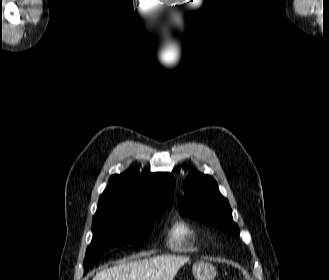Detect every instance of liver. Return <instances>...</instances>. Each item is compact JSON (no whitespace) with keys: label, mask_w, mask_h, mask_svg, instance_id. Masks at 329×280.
<instances>
[{"label":"liver","mask_w":329,"mask_h":280,"mask_svg":"<svg viewBox=\"0 0 329 280\" xmlns=\"http://www.w3.org/2000/svg\"><path fill=\"white\" fill-rule=\"evenodd\" d=\"M190 257L160 255L148 259L122 261L97 273L92 280H173Z\"/></svg>","instance_id":"1"}]
</instances>
